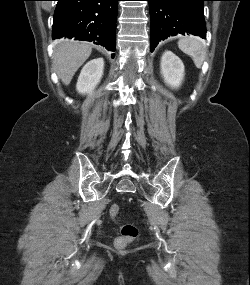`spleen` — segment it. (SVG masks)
Here are the masks:
<instances>
[{"mask_svg": "<svg viewBox=\"0 0 250 285\" xmlns=\"http://www.w3.org/2000/svg\"><path fill=\"white\" fill-rule=\"evenodd\" d=\"M178 47L192 58L197 68L202 67L206 57V47L200 38L196 36H185L178 41Z\"/></svg>", "mask_w": 250, "mask_h": 285, "instance_id": "spleen-1", "label": "spleen"}]
</instances>
